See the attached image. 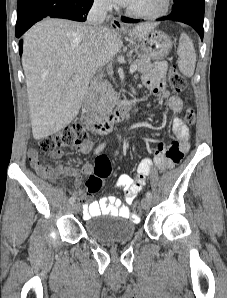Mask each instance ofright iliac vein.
<instances>
[{
	"label": "right iliac vein",
	"instance_id": "right-iliac-vein-1",
	"mask_svg": "<svg viewBox=\"0 0 227 298\" xmlns=\"http://www.w3.org/2000/svg\"><path fill=\"white\" fill-rule=\"evenodd\" d=\"M72 210L74 213H79L81 211V205L79 203H73Z\"/></svg>",
	"mask_w": 227,
	"mask_h": 298
}]
</instances>
